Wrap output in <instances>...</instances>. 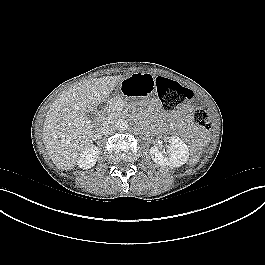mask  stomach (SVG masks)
<instances>
[{
    "mask_svg": "<svg viewBox=\"0 0 265 265\" xmlns=\"http://www.w3.org/2000/svg\"><path fill=\"white\" fill-rule=\"evenodd\" d=\"M154 87L153 77L145 73H135L122 80L117 92L128 99L138 100L151 93Z\"/></svg>",
    "mask_w": 265,
    "mask_h": 265,
    "instance_id": "1",
    "label": "stomach"
}]
</instances>
